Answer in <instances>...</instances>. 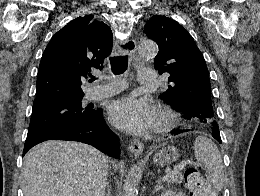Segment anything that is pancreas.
<instances>
[{
    "instance_id": "1",
    "label": "pancreas",
    "mask_w": 260,
    "mask_h": 196,
    "mask_svg": "<svg viewBox=\"0 0 260 196\" xmlns=\"http://www.w3.org/2000/svg\"><path fill=\"white\" fill-rule=\"evenodd\" d=\"M183 180L182 174H176L174 178H171V180H167V184H181Z\"/></svg>"
}]
</instances>
